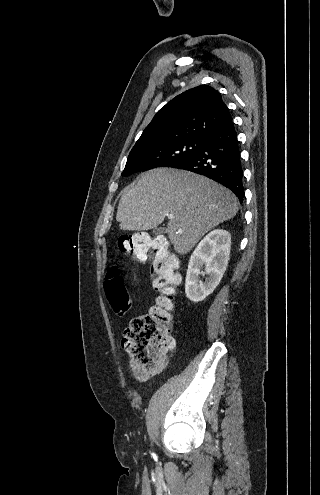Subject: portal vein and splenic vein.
I'll return each mask as SVG.
<instances>
[{
	"label": "portal vein and splenic vein",
	"mask_w": 320,
	"mask_h": 495,
	"mask_svg": "<svg viewBox=\"0 0 320 495\" xmlns=\"http://www.w3.org/2000/svg\"><path fill=\"white\" fill-rule=\"evenodd\" d=\"M167 217H168L169 219H171V218H173V215L168 213V214H167Z\"/></svg>",
	"instance_id": "portal-vein-and-splenic-vein-1"
}]
</instances>
